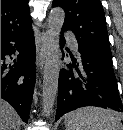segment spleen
Listing matches in <instances>:
<instances>
[{
  "label": "spleen",
  "instance_id": "spleen-1",
  "mask_svg": "<svg viewBox=\"0 0 123 130\" xmlns=\"http://www.w3.org/2000/svg\"><path fill=\"white\" fill-rule=\"evenodd\" d=\"M66 130H119V119L109 110L83 107L65 115Z\"/></svg>",
  "mask_w": 123,
  "mask_h": 130
}]
</instances>
